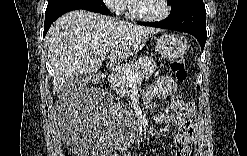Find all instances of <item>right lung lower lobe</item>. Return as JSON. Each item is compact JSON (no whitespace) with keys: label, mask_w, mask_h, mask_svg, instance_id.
Masks as SVG:
<instances>
[{"label":"right lung lower lobe","mask_w":247,"mask_h":156,"mask_svg":"<svg viewBox=\"0 0 247 156\" xmlns=\"http://www.w3.org/2000/svg\"><path fill=\"white\" fill-rule=\"evenodd\" d=\"M84 9L101 14H109V10L103 2H62L51 7H47L45 12L44 36L51 24L61 15L72 10Z\"/></svg>","instance_id":"obj_1"}]
</instances>
